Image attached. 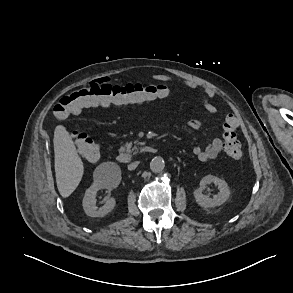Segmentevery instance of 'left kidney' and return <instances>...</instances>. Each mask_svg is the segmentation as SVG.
I'll use <instances>...</instances> for the list:
<instances>
[{"label":"left kidney","instance_id":"1","mask_svg":"<svg viewBox=\"0 0 293 293\" xmlns=\"http://www.w3.org/2000/svg\"><path fill=\"white\" fill-rule=\"evenodd\" d=\"M210 183H214L219 189L218 194L213 196L212 198L208 195L203 194L206 185ZM193 194L199 206L203 208H213L225 203L230 197L231 191L225 180L213 175H207L201 179L200 187L197 188Z\"/></svg>","mask_w":293,"mask_h":293}]
</instances>
